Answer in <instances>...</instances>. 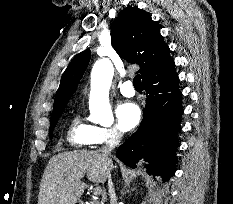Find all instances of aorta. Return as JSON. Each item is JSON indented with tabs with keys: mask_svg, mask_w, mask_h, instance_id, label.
<instances>
[{
	"mask_svg": "<svg viewBox=\"0 0 233 204\" xmlns=\"http://www.w3.org/2000/svg\"><path fill=\"white\" fill-rule=\"evenodd\" d=\"M113 75V65L107 58L96 61L91 72L90 120L104 126L111 125L114 121L109 102V90Z\"/></svg>",
	"mask_w": 233,
	"mask_h": 204,
	"instance_id": "1",
	"label": "aorta"
}]
</instances>
